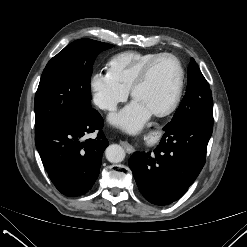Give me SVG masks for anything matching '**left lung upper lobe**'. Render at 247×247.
<instances>
[{
  "mask_svg": "<svg viewBox=\"0 0 247 247\" xmlns=\"http://www.w3.org/2000/svg\"><path fill=\"white\" fill-rule=\"evenodd\" d=\"M189 118H196L213 124L212 93L207 80L193 58H191L188 67V85L185 96L172 120L164 126V130L172 128L178 122Z\"/></svg>",
  "mask_w": 247,
  "mask_h": 247,
  "instance_id": "1",
  "label": "left lung upper lobe"
}]
</instances>
